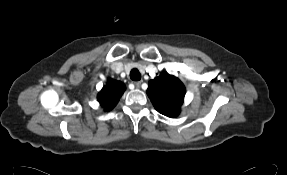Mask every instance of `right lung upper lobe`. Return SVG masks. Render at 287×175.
<instances>
[{"label": "right lung upper lobe", "mask_w": 287, "mask_h": 175, "mask_svg": "<svg viewBox=\"0 0 287 175\" xmlns=\"http://www.w3.org/2000/svg\"><path fill=\"white\" fill-rule=\"evenodd\" d=\"M124 91L125 85L122 82L109 78L107 85L98 94V101L106 111H110L118 103Z\"/></svg>", "instance_id": "obj_1"}]
</instances>
